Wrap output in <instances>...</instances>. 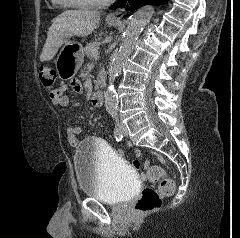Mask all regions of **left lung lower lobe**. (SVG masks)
I'll return each mask as SVG.
<instances>
[{"instance_id":"obj_1","label":"left lung lower lobe","mask_w":240,"mask_h":238,"mask_svg":"<svg viewBox=\"0 0 240 238\" xmlns=\"http://www.w3.org/2000/svg\"><path fill=\"white\" fill-rule=\"evenodd\" d=\"M168 0H118L116 3H114L110 9H116V8H123L125 7L126 3L129 2V5L126 6V10L133 11L134 9L140 8L145 5H159L164 4Z\"/></svg>"}]
</instances>
